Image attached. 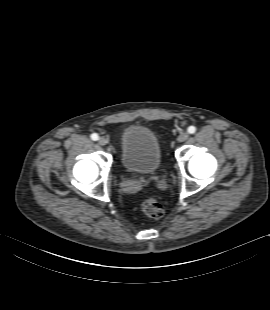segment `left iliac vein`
Listing matches in <instances>:
<instances>
[{
    "label": "left iliac vein",
    "mask_w": 270,
    "mask_h": 310,
    "mask_svg": "<svg viewBox=\"0 0 270 310\" xmlns=\"http://www.w3.org/2000/svg\"><path fill=\"white\" fill-rule=\"evenodd\" d=\"M189 134L187 132H182L180 135L177 137L178 142H184L188 139Z\"/></svg>",
    "instance_id": "obj_1"
}]
</instances>
